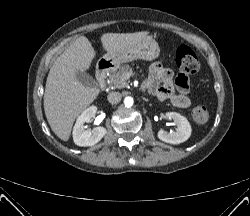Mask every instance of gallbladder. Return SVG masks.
Masks as SVG:
<instances>
[{"mask_svg":"<svg viewBox=\"0 0 250 216\" xmlns=\"http://www.w3.org/2000/svg\"><path fill=\"white\" fill-rule=\"evenodd\" d=\"M77 79L78 81L83 84L84 86H89V87H92V86H95L96 82L95 80L93 79L92 76H90L89 74L87 73H80L77 75Z\"/></svg>","mask_w":250,"mask_h":216,"instance_id":"gallbladder-1","label":"gallbladder"}]
</instances>
